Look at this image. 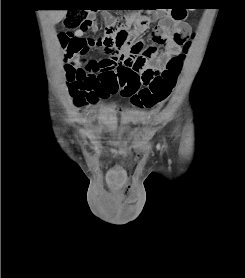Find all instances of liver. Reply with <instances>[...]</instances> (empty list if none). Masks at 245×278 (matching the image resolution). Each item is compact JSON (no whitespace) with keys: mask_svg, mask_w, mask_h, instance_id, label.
<instances>
[{"mask_svg":"<svg viewBox=\"0 0 245 278\" xmlns=\"http://www.w3.org/2000/svg\"><path fill=\"white\" fill-rule=\"evenodd\" d=\"M48 12L52 24H57L65 17L67 10H49Z\"/></svg>","mask_w":245,"mask_h":278,"instance_id":"6515ba94","label":"liver"}]
</instances>
